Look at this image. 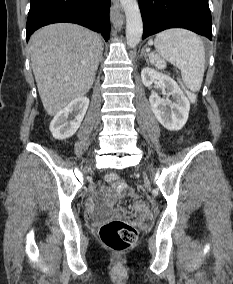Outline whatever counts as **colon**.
Returning <instances> with one entry per match:
<instances>
[{
    "instance_id": "5ec220e1",
    "label": "colon",
    "mask_w": 233,
    "mask_h": 284,
    "mask_svg": "<svg viewBox=\"0 0 233 284\" xmlns=\"http://www.w3.org/2000/svg\"><path fill=\"white\" fill-rule=\"evenodd\" d=\"M149 60L159 69H163L166 66V61L156 52L149 54ZM182 88L191 102L197 100V96L193 91L186 89L184 86ZM105 180L114 185L118 196L124 197L126 195L127 186L116 173L106 174ZM133 209L141 217H146L149 213L148 205L144 201L134 202ZM99 235L103 244L116 252H123L129 249L138 238V232L133 226L119 220L103 224L100 227Z\"/></svg>"
}]
</instances>
